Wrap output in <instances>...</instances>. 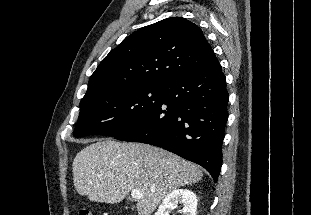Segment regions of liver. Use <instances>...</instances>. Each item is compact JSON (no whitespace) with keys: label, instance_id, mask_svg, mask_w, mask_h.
Instances as JSON below:
<instances>
[{"label":"liver","instance_id":"liver-1","mask_svg":"<svg viewBox=\"0 0 311 215\" xmlns=\"http://www.w3.org/2000/svg\"><path fill=\"white\" fill-rule=\"evenodd\" d=\"M73 183L90 201L119 203L138 189V215H150L173 190L202 179V171L179 156L140 143L98 140L82 149L72 164Z\"/></svg>","mask_w":311,"mask_h":215}]
</instances>
